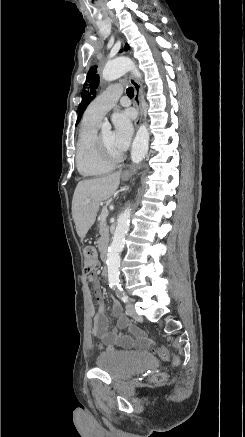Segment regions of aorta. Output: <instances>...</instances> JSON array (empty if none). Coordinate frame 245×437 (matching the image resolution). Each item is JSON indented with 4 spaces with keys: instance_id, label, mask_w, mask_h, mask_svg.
Instances as JSON below:
<instances>
[{
    "instance_id": "762f6f07",
    "label": "aorta",
    "mask_w": 245,
    "mask_h": 437,
    "mask_svg": "<svg viewBox=\"0 0 245 437\" xmlns=\"http://www.w3.org/2000/svg\"><path fill=\"white\" fill-rule=\"evenodd\" d=\"M128 71L134 75L141 76L136 69L134 62L127 58L121 57L108 63L102 71V78L106 81H113L123 76ZM149 146V132L145 125H141L136 133L132 143L131 159L134 163H140L146 156ZM130 226V208H126L117 219V226L111 245L108 249L107 266L109 282L119 280L120 253L125 244V236Z\"/></svg>"
}]
</instances>
